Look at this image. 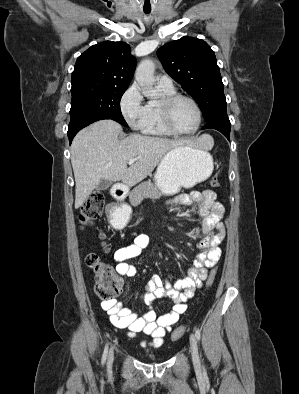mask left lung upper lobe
Segmentation results:
<instances>
[{"instance_id":"5c2ea615","label":"left lung upper lobe","mask_w":299,"mask_h":394,"mask_svg":"<svg viewBox=\"0 0 299 394\" xmlns=\"http://www.w3.org/2000/svg\"><path fill=\"white\" fill-rule=\"evenodd\" d=\"M165 71L198 103L206 122L228 118L214 51L203 40L182 37L157 51Z\"/></svg>"}]
</instances>
